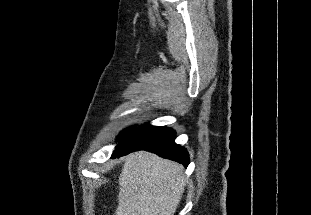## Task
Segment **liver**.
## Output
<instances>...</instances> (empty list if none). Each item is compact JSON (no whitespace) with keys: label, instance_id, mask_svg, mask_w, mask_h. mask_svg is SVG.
Listing matches in <instances>:
<instances>
[{"label":"liver","instance_id":"1","mask_svg":"<svg viewBox=\"0 0 311 215\" xmlns=\"http://www.w3.org/2000/svg\"><path fill=\"white\" fill-rule=\"evenodd\" d=\"M183 166L150 152L128 155L115 215H174L184 192Z\"/></svg>","mask_w":311,"mask_h":215}]
</instances>
